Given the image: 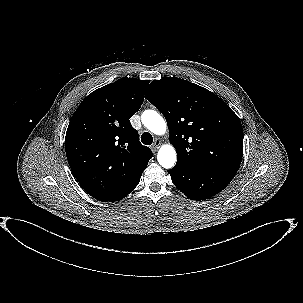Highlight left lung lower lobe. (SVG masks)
<instances>
[{
  "label": "left lung lower lobe",
  "instance_id": "obj_1",
  "mask_svg": "<svg viewBox=\"0 0 303 303\" xmlns=\"http://www.w3.org/2000/svg\"><path fill=\"white\" fill-rule=\"evenodd\" d=\"M237 171L223 166L188 167L176 164L168 173L174 185L187 197L205 200L222 191Z\"/></svg>",
  "mask_w": 303,
  "mask_h": 303
}]
</instances>
